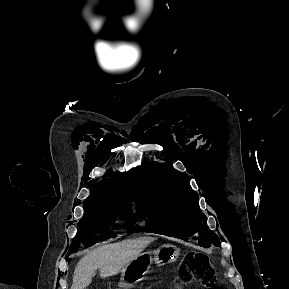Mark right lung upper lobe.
I'll return each instance as SVG.
<instances>
[{
	"mask_svg": "<svg viewBox=\"0 0 289 289\" xmlns=\"http://www.w3.org/2000/svg\"><path fill=\"white\" fill-rule=\"evenodd\" d=\"M109 178L93 186L92 195L84 203L137 202L129 173H108ZM135 190V189H134Z\"/></svg>",
	"mask_w": 289,
	"mask_h": 289,
	"instance_id": "cb5924a9",
	"label": "right lung upper lobe"
}]
</instances>
